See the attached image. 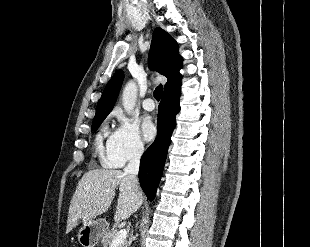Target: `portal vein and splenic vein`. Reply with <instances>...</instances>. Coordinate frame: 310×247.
Returning <instances> with one entry per match:
<instances>
[{"instance_id":"18ae733b","label":"portal vein and splenic vein","mask_w":310,"mask_h":247,"mask_svg":"<svg viewBox=\"0 0 310 247\" xmlns=\"http://www.w3.org/2000/svg\"><path fill=\"white\" fill-rule=\"evenodd\" d=\"M127 237V231L125 229H121L112 240L110 247H118L122 244Z\"/></svg>"}]
</instances>
